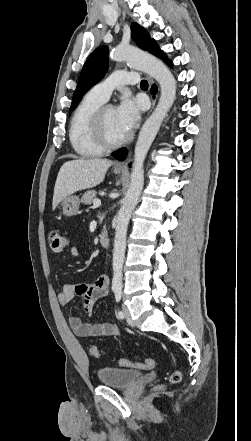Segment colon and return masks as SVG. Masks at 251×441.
<instances>
[{
	"label": "colon",
	"instance_id": "colon-1",
	"mask_svg": "<svg viewBox=\"0 0 251 441\" xmlns=\"http://www.w3.org/2000/svg\"><path fill=\"white\" fill-rule=\"evenodd\" d=\"M48 244L53 253H61L67 245V239L63 233L57 230H52L48 233ZM89 351L93 357L98 358L100 356V351L96 345H91ZM118 364L125 368L150 369L154 366V360L152 358L146 359L144 361L119 359ZM180 380V371L177 369L173 370L168 378V382L170 384H176L180 382Z\"/></svg>",
	"mask_w": 251,
	"mask_h": 441
}]
</instances>
